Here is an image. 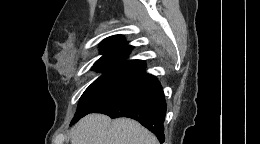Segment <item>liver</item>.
Segmentation results:
<instances>
[{
	"label": "liver",
	"mask_w": 260,
	"mask_h": 144,
	"mask_svg": "<svg viewBox=\"0 0 260 144\" xmlns=\"http://www.w3.org/2000/svg\"><path fill=\"white\" fill-rule=\"evenodd\" d=\"M72 144H159L157 138L130 118L111 120L102 114L82 118L71 131Z\"/></svg>",
	"instance_id": "6515ba94"
}]
</instances>
